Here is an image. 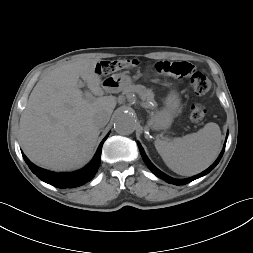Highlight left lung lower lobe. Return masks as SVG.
<instances>
[{
  "instance_id": "left-lung-lower-lobe-1",
  "label": "left lung lower lobe",
  "mask_w": 253,
  "mask_h": 253,
  "mask_svg": "<svg viewBox=\"0 0 253 253\" xmlns=\"http://www.w3.org/2000/svg\"><path fill=\"white\" fill-rule=\"evenodd\" d=\"M227 139V137H226ZM225 145H226V142L224 144V148H225ZM138 146H139V149H140V153H141V156L144 160V162L146 163V165L148 166V168L159 178L165 180L166 182L170 183V184H175V185H185L195 179H198L206 174H208L211 170H213L215 168V166L219 163L223 153H224V148L222 150V152L220 153L219 157L217 158V160L208 168L206 169L205 171H203L202 173L196 175V176H193L191 178H188V179H174L166 174H164L163 172H161L159 169H157L152 163L151 161L148 159V157L146 156L143 148L141 147L140 143H138Z\"/></svg>"
}]
</instances>
